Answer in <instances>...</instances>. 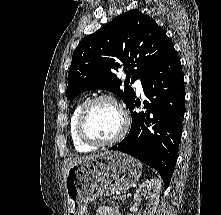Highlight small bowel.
I'll return each mask as SVG.
<instances>
[{
    "mask_svg": "<svg viewBox=\"0 0 221 215\" xmlns=\"http://www.w3.org/2000/svg\"><path fill=\"white\" fill-rule=\"evenodd\" d=\"M94 215H120V213L111 207H101L94 212Z\"/></svg>",
    "mask_w": 221,
    "mask_h": 215,
    "instance_id": "1",
    "label": "small bowel"
}]
</instances>
